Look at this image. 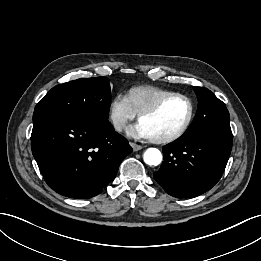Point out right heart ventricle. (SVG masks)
Instances as JSON below:
<instances>
[{
  "label": "right heart ventricle",
  "mask_w": 261,
  "mask_h": 261,
  "mask_svg": "<svg viewBox=\"0 0 261 261\" xmlns=\"http://www.w3.org/2000/svg\"><path fill=\"white\" fill-rule=\"evenodd\" d=\"M171 92L155 86H136L129 89L126 94L129 104L136 114L146 109L161 97Z\"/></svg>",
  "instance_id": "right-heart-ventricle-1"
}]
</instances>
